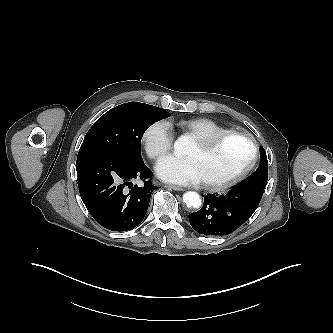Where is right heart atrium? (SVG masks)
<instances>
[{"label": "right heart atrium", "instance_id": "obj_1", "mask_svg": "<svg viewBox=\"0 0 333 333\" xmlns=\"http://www.w3.org/2000/svg\"><path fill=\"white\" fill-rule=\"evenodd\" d=\"M142 141L147 155L151 159H159L167 154L174 142V134L170 124L165 120L152 122L144 130Z\"/></svg>", "mask_w": 333, "mask_h": 333}]
</instances>
